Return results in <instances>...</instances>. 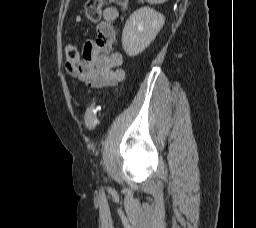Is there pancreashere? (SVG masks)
<instances>
[{
	"label": "pancreas",
	"mask_w": 256,
	"mask_h": 228,
	"mask_svg": "<svg viewBox=\"0 0 256 228\" xmlns=\"http://www.w3.org/2000/svg\"><path fill=\"white\" fill-rule=\"evenodd\" d=\"M139 2L143 3V0H138Z\"/></svg>",
	"instance_id": "1"
}]
</instances>
